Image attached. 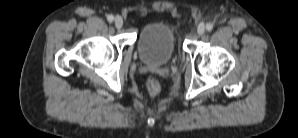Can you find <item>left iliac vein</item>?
Returning a JSON list of instances; mask_svg holds the SVG:
<instances>
[{"label":"left iliac vein","mask_w":298,"mask_h":138,"mask_svg":"<svg viewBox=\"0 0 298 138\" xmlns=\"http://www.w3.org/2000/svg\"><path fill=\"white\" fill-rule=\"evenodd\" d=\"M205 32V25L204 23H200L197 27V33L202 35Z\"/></svg>","instance_id":"1"}]
</instances>
